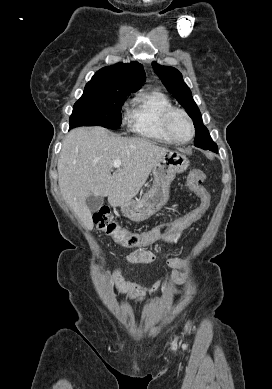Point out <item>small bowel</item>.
<instances>
[{
  "instance_id": "c3829d8e",
  "label": "small bowel",
  "mask_w": 272,
  "mask_h": 389,
  "mask_svg": "<svg viewBox=\"0 0 272 389\" xmlns=\"http://www.w3.org/2000/svg\"><path fill=\"white\" fill-rule=\"evenodd\" d=\"M182 235L181 233L165 235L161 237V240L169 243H176ZM155 260V256L151 253L137 250L130 252L126 255V261L130 263L144 262L151 263ZM168 264L171 268L174 269V276L178 283L183 282V278L178 274L177 270L180 267V259H171L168 261ZM108 282L114 287L115 291L125 297L128 300L135 302H142L146 295L149 293L158 292L160 290L167 289L177 295L178 290L172 285L166 283L163 280H159L154 283L152 286H144L139 283L125 281L122 277L120 265L117 264L112 270L108 272Z\"/></svg>"
}]
</instances>
